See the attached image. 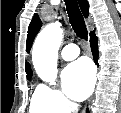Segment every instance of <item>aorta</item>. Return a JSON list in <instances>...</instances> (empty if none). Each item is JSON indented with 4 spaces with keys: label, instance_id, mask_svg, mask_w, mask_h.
<instances>
[{
    "label": "aorta",
    "instance_id": "aorta-1",
    "mask_svg": "<svg viewBox=\"0 0 121 113\" xmlns=\"http://www.w3.org/2000/svg\"><path fill=\"white\" fill-rule=\"evenodd\" d=\"M63 30L58 22L45 26L38 34L32 51V61L37 75L53 84L57 77V57Z\"/></svg>",
    "mask_w": 121,
    "mask_h": 113
}]
</instances>
